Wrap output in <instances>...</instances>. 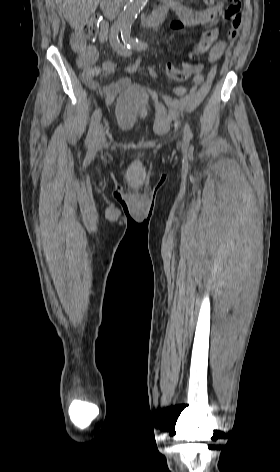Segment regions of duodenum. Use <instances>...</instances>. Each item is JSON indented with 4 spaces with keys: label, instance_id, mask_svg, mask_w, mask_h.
Masks as SVG:
<instances>
[{
    "label": "duodenum",
    "instance_id": "duodenum-1",
    "mask_svg": "<svg viewBox=\"0 0 280 472\" xmlns=\"http://www.w3.org/2000/svg\"><path fill=\"white\" fill-rule=\"evenodd\" d=\"M101 8L104 15L114 20L119 12V0H102ZM168 9L162 5L155 8L143 21V26L151 27L164 21L166 18Z\"/></svg>",
    "mask_w": 280,
    "mask_h": 472
}]
</instances>
